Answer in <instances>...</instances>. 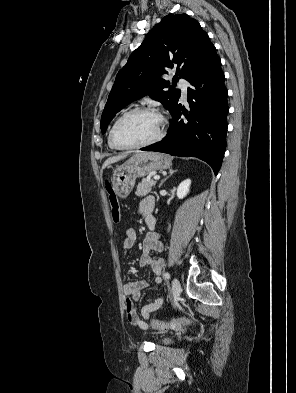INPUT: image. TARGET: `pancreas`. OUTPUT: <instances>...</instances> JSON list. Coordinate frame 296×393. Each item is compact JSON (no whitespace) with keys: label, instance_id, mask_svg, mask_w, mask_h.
<instances>
[{"label":"pancreas","instance_id":"1","mask_svg":"<svg viewBox=\"0 0 296 393\" xmlns=\"http://www.w3.org/2000/svg\"><path fill=\"white\" fill-rule=\"evenodd\" d=\"M156 181L151 178L143 179L137 186L136 195L143 197L151 192L152 187H155Z\"/></svg>","mask_w":296,"mask_h":393}]
</instances>
